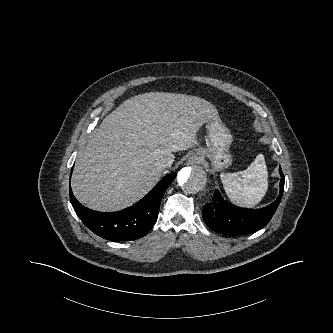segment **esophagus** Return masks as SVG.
Instances as JSON below:
<instances>
[{
    "label": "esophagus",
    "mask_w": 333,
    "mask_h": 333,
    "mask_svg": "<svg viewBox=\"0 0 333 333\" xmlns=\"http://www.w3.org/2000/svg\"><path fill=\"white\" fill-rule=\"evenodd\" d=\"M201 156L198 153H194L192 154L189 158H188V164H195V163H200L201 162Z\"/></svg>",
    "instance_id": "obj_1"
}]
</instances>
